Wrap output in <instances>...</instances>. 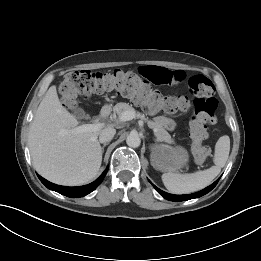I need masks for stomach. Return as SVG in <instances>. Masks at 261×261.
<instances>
[{"label": "stomach", "instance_id": "0dacf381", "mask_svg": "<svg viewBox=\"0 0 261 261\" xmlns=\"http://www.w3.org/2000/svg\"><path fill=\"white\" fill-rule=\"evenodd\" d=\"M150 160L156 170L174 173L187 165L189 154L182 146L154 144L151 147Z\"/></svg>", "mask_w": 261, "mask_h": 261}]
</instances>
